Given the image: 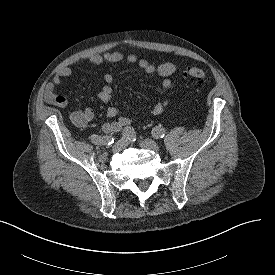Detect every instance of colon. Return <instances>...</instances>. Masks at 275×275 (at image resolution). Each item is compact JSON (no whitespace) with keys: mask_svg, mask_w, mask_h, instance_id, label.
Listing matches in <instances>:
<instances>
[{"mask_svg":"<svg viewBox=\"0 0 275 275\" xmlns=\"http://www.w3.org/2000/svg\"><path fill=\"white\" fill-rule=\"evenodd\" d=\"M184 74L196 84H205L210 81L209 70L198 66H187Z\"/></svg>","mask_w":275,"mask_h":275,"instance_id":"colon-1","label":"colon"}]
</instances>
